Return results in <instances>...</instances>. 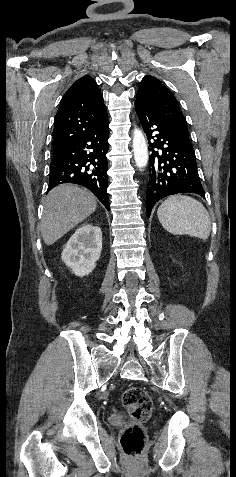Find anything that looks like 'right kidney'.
Returning <instances> with one entry per match:
<instances>
[{"mask_svg": "<svg viewBox=\"0 0 236 477\" xmlns=\"http://www.w3.org/2000/svg\"><path fill=\"white\" fill-rule=\"evenodd\" d=\"M101 251V228L93 224H85L71 236L61 258L76 276L83 277L94 270Z\"/></svg>", "mask_w": 236, "mask_h": 477, "instance_id": "1", "label": "right kidney"}]
</instances>
